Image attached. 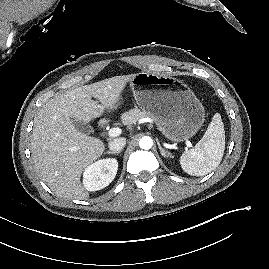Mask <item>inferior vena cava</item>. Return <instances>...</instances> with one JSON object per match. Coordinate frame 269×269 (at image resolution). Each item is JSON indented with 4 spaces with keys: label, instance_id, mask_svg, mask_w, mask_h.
<instances>
[{
    "label": "inferior vena cava",
    "instance_id": "1",
    "mask_svg": "<svg viewBox=\"0 0 269 269\" xmlns=\"http://www.w3.org/2000/svg\"><path fill=\"white\" fill-rule=\"evenodd\" d=\"M126 145V138L120 137L109 142V149L112 151H121Z\"/></svg>",
    "mask_w": 269,
    "mask_h": 269
}]
</instances>
